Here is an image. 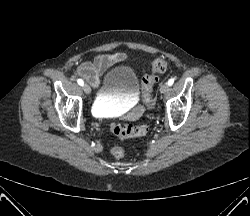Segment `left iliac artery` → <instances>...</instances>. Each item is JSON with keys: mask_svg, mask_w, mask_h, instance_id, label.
I'll use <instances>...</instances> for the list:
<instances>
[{"mask_svg": "<svg viewBox=\"0 0 250 216\" xmlns=\"http://www.w3.org/2000/svg\"><path fill=\"white\" fill-rule=\"evenodd\" d=\"M173 83H174V80H173V79H169V81L167 82V84H168L169 86L173 85Z\"/></svg>", "mask_w": 250, "mask_h": 216, "instance_id": "1", "label": "left iliac artery"}]
</instances>
